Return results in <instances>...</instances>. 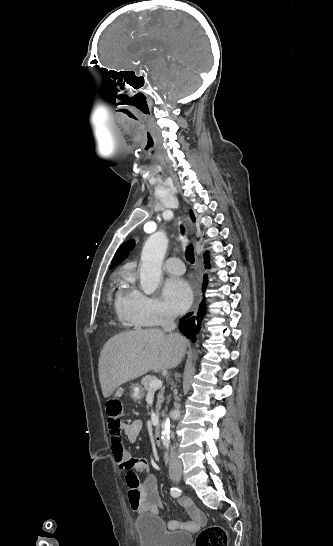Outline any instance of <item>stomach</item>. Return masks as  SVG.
<instances>
[{"mask_svg":"<svg viewBox=\"0 0 333 546\" xmlns=\"http://www.w3.org/2000/svg\"><path fill=\"white\" fill-rule=\"evenodd\" d=\"M130 397L133 399V400H140L144 397L145 395V392L142 388V386H140L139 384H132L130 386Z\"/></svg>","mask_w":333,"mask_h":546,"instance_id":"1","label":"stomach"}]
</instances>
